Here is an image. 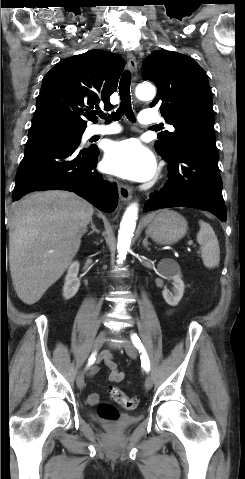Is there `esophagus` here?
<instances>
[{"instance_id": "1", "label": "esophagus", "mask_w": 245, "mask_h": 479, "mask_svg": "<svg viewBox=\"0 0 245 479\" xmlns=\"http://www.w3.org/2000/svg\"><path fill=\"white\" fill-rule=\"evenodd\" d=\"M127 66L129 71L132 74L135 75L137 73V61L132 51L127 52ZM118 190H119V197L122 202L126 203L131 200L132 198L131 187L124 184H119Z\"/></svg>"}]
</instances>
